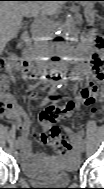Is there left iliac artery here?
<instances>
[{
  "label": "left iliac artery",
  "mask_w": 104,
  "mask_h": 189,
  "mask_svg": "<svg viewBox=\"0 0 104 189\" xmlns=\"http://www.w3.org/2000/svg\"><path fill=\"white\" fill-rule=\"evenodd\" d=\"M79 136H82V133H79ZM81 144H84V139L80 137Z\"/></svg>",
  "instance_id": "44dca946"
}]
</instances>
